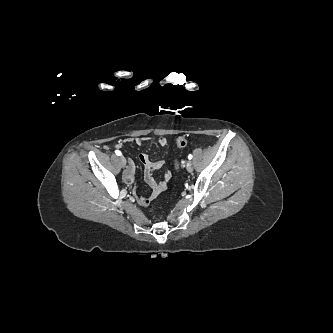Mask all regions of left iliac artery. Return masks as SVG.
I'll return each mask as SVG.
<instances>
[{"label": "left iliac artery", "mask_w": 333, "mask_h": 333, "mask_svg": "<svg viewBox=\"0 0 333 333\" xmlns=\"http://www.w3.org/2000/svg\"><path fill=\"white\" fill-rule=\"evenodd\" d=\"M193 158V155L192 154H189L188 155V159L191 160Z\"/></svg>", "instance_id": "left-iliac-artery-1"}]
</instances>
